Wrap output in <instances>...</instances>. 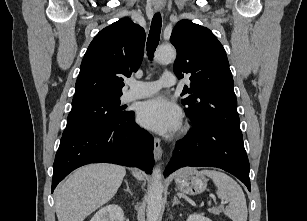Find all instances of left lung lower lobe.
<instances>
[{
  "instance_id": "left-lung-lower-lobe-1",
  "label": "left lung lower lobe",
  "mask_w": 307,
  "mask_h": 221,
  "mask_svg": "<svg viewBox=\"0 0 307 221\" xmlns=\"http://www.w3.org/2000/svg\"><path fill=\"white\" fill-rule=\"evenodd\" d=\"M184 166L221 168L236 176L251 191L250 166L242 136L223 128L195 127L178 141L164 174L169 175Z\"/></svg>"
}]
</instances>
